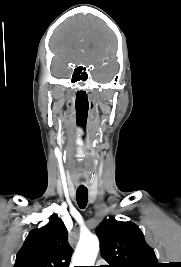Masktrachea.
Instances as JSON below:
<instances>
[{"label":"trachea","mask_w":181,"mask_h":267,"mask_svg":"<svg viewBox=\"0 0 181 267\" xmlns=\"http://www.w3.org/2000/svg\"><path fill=\"white\" fill-rule=\"evenodd\" d=\"M77 203L80 208L84 209L88 202V190L85 187H79L76 192Z\"/></svg>","instance_id":"trachea-1"}]
</instances>
